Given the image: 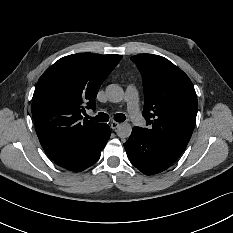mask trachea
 I'll return each instance as SVG.
<instances>
[{
	"label": "trachea",
	"instance_id": "trachea-1",
	"mask_svg": "<svg viewBox=\"0 0 233 233\" xmlns=\"http://www.w3.org/2000/svg\"><path fill=\"white\" fill-rule=\"evenodd\" d=\"M89 119L97 121V122H106L109 120V116L106 113H98L95 117H90ZM114 120L117 122H123L126 120V116L122 113H118L114 115Z\"/></svg>",
	"mask_w": 233,
	"mask_h": 233
}]
</instances>
